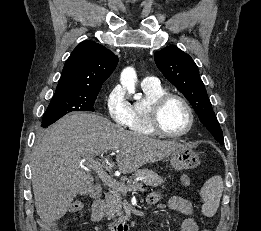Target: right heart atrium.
<instances>
[{
    "instance_id": "obj_1",
    "label": "right heart atrium",
    "mask_w": 261,
    "mask_h": 231,
    "mask_svg": "<svg viewBox=\"0 0 261 231\" xmlns=\"http://www.w3.org/2000/svg\"><path fill=\"white\" fill-rule=\"evenodd\" d=\"M106 109L111 120L119 126H127L130 113L128 102L123 88L119 85L113 87L105 101Z\"/></svg>"
}]
</instances>
